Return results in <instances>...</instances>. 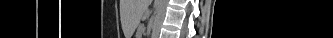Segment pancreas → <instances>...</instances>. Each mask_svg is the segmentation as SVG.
Returning <instances> with one entry per match:
<instances>
[{
	"label": "pancreas",
	"mask_w": 333,
	"mask_h": 38,
	"mask_svg": "<svg viewBox=\"0 0 333 38\" xmlns=\"http://www.w3.org/2000/svg\"><path fill=\"white\" fill-rule=\"evenodd\" d=\"M139 32L142 33V27L139 28Z\"/></svg>",
	"instance_id": "1"
}]
</instances>
